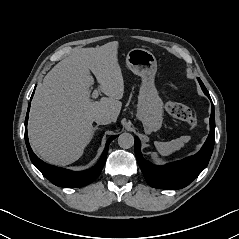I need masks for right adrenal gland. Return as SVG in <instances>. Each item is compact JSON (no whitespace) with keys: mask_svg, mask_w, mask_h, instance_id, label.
<instances>
[{"mask_svg":"<svg viewBox=\"0 0 239 239\" xmlns=\"http://www.w3.org/2000/svg\"><path fill=\"white\" fill-rule=\"evenodd\" d=\"M96 130H98V127H97V126L94 127V129H93V134H94V132H95Z\"/></svg>","mask_w":239,"mask_h":239,"instance_id":"1","label":"right adrenal gland"}]
</instances>
